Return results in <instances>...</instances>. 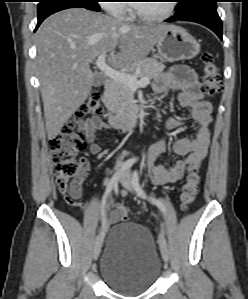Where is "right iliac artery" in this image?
Masks as SVG:
<instances>
[{"label": "right iliac artery", "instance_id": "obj_1", "mask_svg": "<svg viewBox=\"0 0 248 299\" xmlns=\"http://www.w3.org/2000/svg\"><path fill=\"white\" fill-rule=\"evenodd\" d=\"M134 163H135L134 159H128V160H126L122 164L121 168L113 175V177L107 183V187H106L105 193L103 195L102 205H101V217H102L103 227H105V224H106V220H105V205H106L107 197H108L109 193L111 192L112 188L117 185L120 176L125 171L129 170L133 166Z\"/></svg>", "mask_w": 248, "mask_h": 299}]
</instances>
